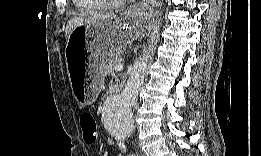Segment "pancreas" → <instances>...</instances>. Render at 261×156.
<instances>
[{"label": "pancreas", "instance_id": "obj_1", "mask_svg": "<svg viewBox=\"0 0 261 156\" xmlns=\"http://www.w3.org/2000/svg\"><path fill=\"white\" fill-rule=\"evenodd\" d=\"M122 60L121 52H112L109 55V58L106 60L105 63L100 68V72L103 76L111 74L115 70V65L120 64Z\"/></svg>", "mask_w": 261, "mask_h": 156}]
</instances>
